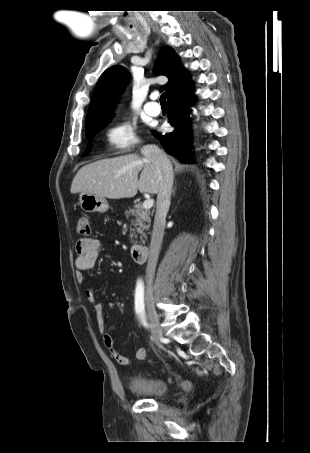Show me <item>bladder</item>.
Masks as SVG:
<instances>
[{"mask_svg": "<svg viewBox=\"0 0 310 453\" xmlns=\"http://www.w3.org/2000/svg\"><path fill=\"white\" fill-rule=\"evenodd\" d=\"M129 389L146 397H160L168 392V384L161 378L138 374L131 377Z\"/></svg>", "mask_w": 310, "mask_h": 453, "instance_id": "obj_1", "label": "bladder"}]
</instances>
